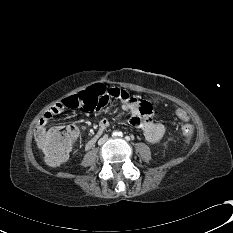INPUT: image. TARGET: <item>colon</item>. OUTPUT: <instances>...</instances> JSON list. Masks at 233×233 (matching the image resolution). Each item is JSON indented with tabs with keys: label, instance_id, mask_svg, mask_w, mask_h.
Listing matches in <instances>:
<instances>
[{
	"label": "colon",
	"instance_id": "obj_1",
	"mask_svg": "<svg viewBox=\"0 0 233 233\" xmlns=\"http://www.w3.org/2000/svg\"><path fill=\"white\" fill-rule=\"evenodd\" d=\"M106 90L103 85L95 84L74 96L64 99L65 108L93 111L96 102L102 94L106 93ZM173 114L179 121L183 122L182 135L187 138L191 137L194 128L189 123L190 115L186 112V109L175 107ZM77 138V128L73 125H67L62 128L55 127L41 130L37 133L36 140L45 159L53 165H60L67 160L73 151Z\"/></svg>",
	"mask_w": 233,
	"mask_h": 233
}]
</instances>
